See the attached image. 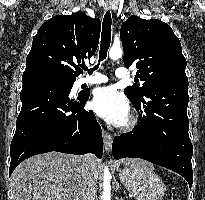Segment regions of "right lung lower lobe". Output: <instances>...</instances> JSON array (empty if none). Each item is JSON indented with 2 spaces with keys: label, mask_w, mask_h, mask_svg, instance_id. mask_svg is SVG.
Here are the masks:
<instances>
[{
  "label": "right lung lower lobe",
  "mask_w": 205,
  "mask_h": 200,
  "mask_svg": "<svg viewBox=\"0 0 205 200\" xmlns=\"http://www.w3.org/2000/svg\"><path fill=\"white\" fill-rule=\"evenodd\" d=\"M22 81L9 175L26 158L50 151L102 157L101 128L94 113L83 109L90 93L70 98L73 84L55 75H27Z\"/></svg>",
  "instance_id": "obj_1"
}]
</instances>
